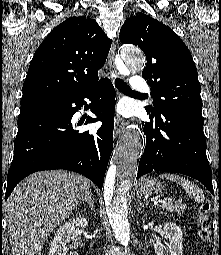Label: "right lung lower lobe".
I'll list each match as a JSON object with an SVG mask.
<instances>
[{"instance_id": "98d812e1", "label": "right lung lower lobe", "mask_w": 221, "mask_h": 255, "mask_svg": "<svg viewBox=\"0 0 221 255\" xmlns=\"http://www.w3.org/2000/svg\"><path fill=\"white\" fill-rule=\"evenodd\" d=\"M115 95L111 81L105 79L76 94L21 105L5 200L23 178L42 170L78 172L102 189L113 149ZM85 98L94 102L91 111L97 116L87 117L85 124L102 121L94 132L75 130L71 122L87 103ZM1 199L0 193V206Z\"/></svg>"}]
</instances>
